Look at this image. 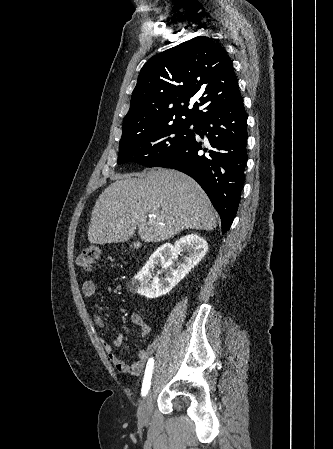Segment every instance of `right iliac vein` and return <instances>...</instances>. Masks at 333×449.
<instances>
[{"label": "right iliac vein", "mask_w": 333, "mask_h": 449, "mask_svg": "<svg viewBox=\"0 0 333 449\" xmlns=\"http://www.w3.org/2000/svg\"><path fill=\"white\" fill-rule=\"evenodd\" d=\"M153 407V395L152 392L149 391L142 401L139 410H138V422L141 425H146L151 417Z\"/></svg>", "instance_id": "1"}]
</instances>
